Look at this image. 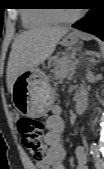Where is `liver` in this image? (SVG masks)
Returning a JSON list of instances; mask_svg holds the SVG:
<instances>
[{"mask_svg":"<svg viewBox=\"0 0 104 169\" xmlns=\"http://www.w3.org/2000/svg\"><path fill=\"white\" fill-rule=\"evenodd\" d=\"M70 28L42 26L19 34L13 41L7 64V88L11 93L17 77L43 64Z\"/></svg>","mask_w":104,"mask_h":169,"instance_id":"obj_1","label":"liver"}]
</instances>
